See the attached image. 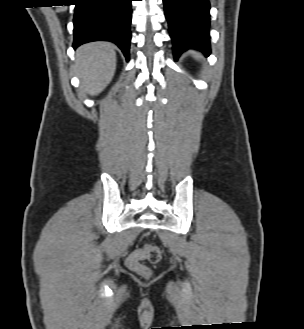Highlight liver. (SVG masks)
Masks as SVG:
<instances>
[{"mask_svg": "<svg viewBox=\"0 0 304 329\" xmlns=\"http://www.w3.org/2000/svg\"><path fill=\"white\" fill-rule=\"evenodd\" d=\"M116 69L115 47L109 42H92L76 51V70L81 87L92 96L101 93L112 80Z\"/></svg>", "mask_w": 304, "mask_h": 329, "instance_id": "6515ba94", "label": "liver"}]
</instances>
